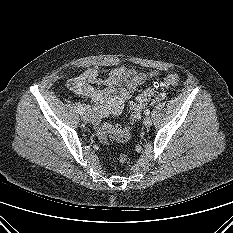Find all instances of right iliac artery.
Instances as JSON below:
<instances>
[{
  "mask_svg": "<svg viewBox=\"0 0 233 233\" xmlns=\"http://www.w3.org/2000/svg\"><path fill=\"white\" fill-rule=\"evenodd\" d=\"M76 105H77L78 112L80 113V115H82V114L84 113V112H83L84 109H83L81 103L78 102V103H76Z\"/></svg>",
  "mask_w": 233,
  "mask_h": 233,
  "instance_id": "1",
  "label": "right iliac artery"
}]
</instances>
